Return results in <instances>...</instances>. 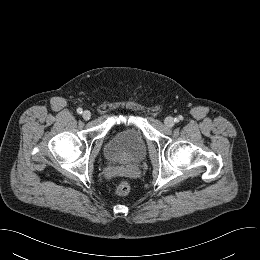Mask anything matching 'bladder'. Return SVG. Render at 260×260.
Listing matches in <instances>:
<instances>
[{"label":"bladder","instance_id":"31cf9c89","mask_svg":"<svg viewBox=\"0 0 260 260\" xmlns=\"http://www.w3.org/2000/svg\"><path fill=\"white\" fill-rule=\"evenodd\" d=\"M146 152V141L137 127L128 128L112 136L104 146L105 158L111 163L138 160Z\"/></svg>","mask_w":260,"mask_h":260}]
</instances>
